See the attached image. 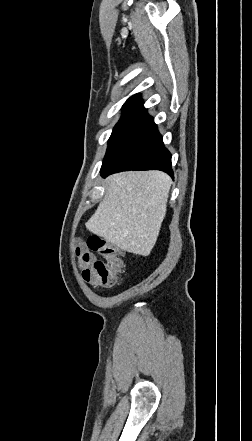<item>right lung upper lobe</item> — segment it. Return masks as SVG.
I'll return each mask as SVG.
<instances>
[{
  "label": "right lung upper lobe",
  "instance_id": "1",
  "mask_svg": "<svg viewBox=\"0 0 252 441\" xmlns=\"http://www.w3.org/2000/svg\"><path fill=\"white\" fill-rule=\"evenodd\" d=\"M138 103H142V100H141L139 94H135L126 101L124 106L131 105V104H138Z\"/></svg>",
  "mask_w": 252,
  "mask_h": 441
}]
</instances>
